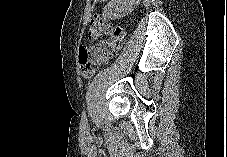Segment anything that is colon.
Listing matches in <instances>:
<instances>
[{"instance_id":"obj_1","label":"colon","mask_w":227,"mask_h":157,"mask_svg":"<svg viewBox=\"0 0 227 157\" xmlns=\"http://www.w3.org/2000/svg\"><path fill=\"white\" fill-rule=\"evenodd\" d=\"M89 37L96 43L82 46L79 50V64L85 78L90 77L96 67L114 57L125 41L124 29L106 20L95 17L89 25Z\"/></svg>"}]
</instances>
